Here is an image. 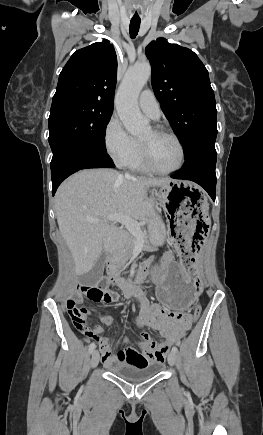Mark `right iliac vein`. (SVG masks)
Returning a JSON list of instances; mask_svg holds the SVG:
<instances>
[{"label":"right iliac vein","mask_w":263,"mask_h":435,"mask_svg":"<svg viewBox=\"0 0 263 435\" xmlns=\"http://www.w3.org/2000/svg\"><path fill=\"white\" fill-rule=\"evenodd\" d=\"M99 359H100L99 352L97 350H94L92 352L91 361H90V365L92 368H95L98 365Z\"/></svg>","instance_id":"63e3f726"}]
</instances>
